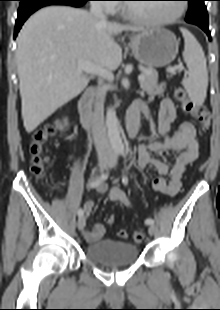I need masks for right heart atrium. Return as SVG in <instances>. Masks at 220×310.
I'll return each mask as SVG.
<instances>
[{"instance_id": "right-heart-atrium-1", "label": "right heart atrium", "mask_w": 220, "mask_h": 310, "mask_svg": "<svg viewBox=\"0 0 220 310\" xmlns=\"http://www.w3.org/2000/svg\"><path fill=\"white\" fill-rule=\"evenodd\" d=\"M103 1V9L107 13H115L118 10L117 4L115 3L114 0H101Z\"/></svg>"}]
</instances>
